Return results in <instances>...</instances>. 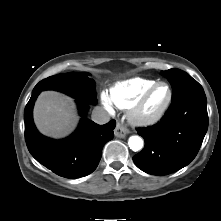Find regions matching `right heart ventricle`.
Listing matches in <instances>:
<instances>
[{"label": "right heart ventricle", "instance_id": "obj_1", "mask_svg": "<svg viewBox=\"0 0 221 221\" xmlns=\"http://www.w3.org/2000/svg\"><path fill=\"white\" fill-rule=\"evenodd\" d=\"M156 80L134 77L114 84L109 91L111 102L120 109H130Z\"/></svg>", "mask_w": 221, "mask_h": 221}]
</instances>
